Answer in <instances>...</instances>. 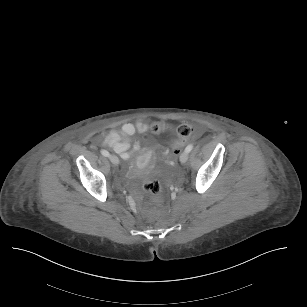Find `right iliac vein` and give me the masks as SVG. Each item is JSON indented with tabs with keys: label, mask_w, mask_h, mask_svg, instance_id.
I'll return each instance as SVG.
<instances>
[{
	"label": "right iliac vein",
	"mask_w": 307,
	"mask_h": 307,
	"mask_svg": "<svg viewBox=\"0 0 307 307\" xmlns=\"http://www.w3.org/2000/svg\"><path fill=\"white\" fill-rule=\"evenodd\" d=\"M109 160L114 165H118L119 164V159L115 155H109Z\"/></svg>",
	"instance_id": "1"
}]
</instances>
